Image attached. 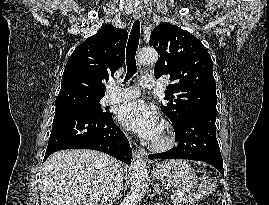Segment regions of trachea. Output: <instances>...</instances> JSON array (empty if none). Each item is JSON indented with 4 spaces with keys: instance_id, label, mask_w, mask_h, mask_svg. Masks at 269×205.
<instances>
[{
    "instance_id": "trachea-1",
    "label": "trachea",
    "mask_w": 269,
    "mask_h": 205,
    "mask_svg": "<svg viewBox=\"0 0 269 205\" xmlns=\"http://www.w3.org/2000/svg\"><path fill=\"white\" fill-rule=\"evenodd\" d=\"M140 38V22L136 20L132 26L131 33L126 48V64H127V74L124 79V83L129 80L137 72L136 65V52L139 45Z\"/></svg>"
}]
</instances>
